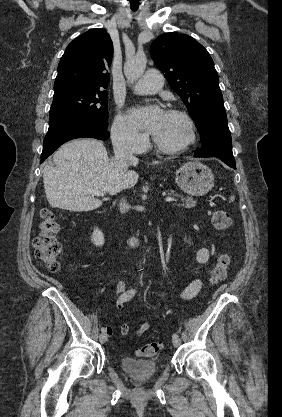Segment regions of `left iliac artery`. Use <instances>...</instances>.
<instances>
[{
	"mask_svg": "<svg viewBox=\"0 0 282 417\" xmlns=\"http://www.w3.org/2000/svg\"><path fill=\"white\" fill-rule=\"evenodd\" d=\"M172 338H173V339H176V338H178V335H177L176 333H174V334L172 335Z\"/></svg>",
	"mask_w": 282,
	"mask_h": 417,
	"instance_id": "44dca946",
	"label": "left iliac artery"
}]
</instances>
